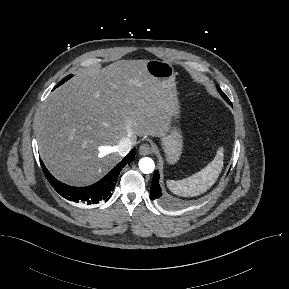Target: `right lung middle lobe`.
Wrapping results in <instances>:
<instances>
[{
    "mask_svg": "<svg viewBox=\"0 0 289 289\" xmlns=\"http://www.w3.org/2000/svg\"><path fill=\"white\" fill-rule=\"evenodd\" d=\"M72 75L67 76L66 78H64L56 87L60 86L61 84H63L65 81H67L69 78H71Z\"/></svg>",
    "mask_w": 289,
    "mask_h": 289,
    "instance_id": "right-lung-middle-lobe-1",
    "label": "right lung middle lobe"
}]
</instances>
